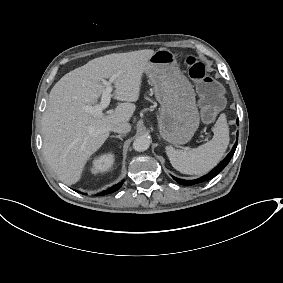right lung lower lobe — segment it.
<instances>
[{"label":"right lung lower lobe","mask_w":283,"mask_h":283,"mask_svg":"<svg viewBox=\"0 0 283 283\" xmlns=\"http://www.w3.org/2000/svg\"><path fill=\"white\" fill-rule=\"evenodd\" d=\"M123 183H124V181H121L120 183H118V184L112 186L111 188H109V189H107V190H105V191L99 193L98 195L103 196V195H106V194L115 192V191H117V190L122 186ZM77 192H78V191H77Z\"/></svg>","instance_id":"98d812e1"}]
</instances>
